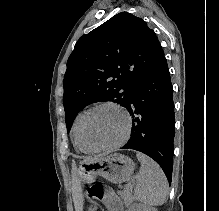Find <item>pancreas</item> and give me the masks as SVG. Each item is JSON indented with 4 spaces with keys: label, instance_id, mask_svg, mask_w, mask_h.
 Instances as JSON below:
<instances>
[{
    "label": "pancreas",
    "instance_id": "1",
    "mask_svg": "<svg viewBox=\"0 0 219 211\" xmlns=\"http://www.w3.org/2000/svg\"><path fill=\"white\" fill-rule=\"evenodd\" d=\"M119 193L121 197H123L124 203H126V205H130V203H132L134 197L129 189H123V191H119Z\"/></svg>",
    "mask_w": 219,
    "mask_h": 211
}]
</instances>
